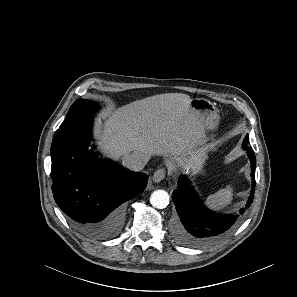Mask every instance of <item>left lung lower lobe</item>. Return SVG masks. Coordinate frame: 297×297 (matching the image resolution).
<instances>
[{
	"label": "left lung lower lobe",
	"mask_w": 297,
	"mask_h": 297,
	"mask_svg": "<svg viewBox=\"0 0 297 297\" xmlns=\"http://www.w3.org/2000/svg\"><path fill=\"white\" fill-rule=\"evenodd\" d=\"M251 162L252 189L244 208L235 215H221L208 210L185 176L178 181L177 190L172 194L179 221L173 227V239L184 246L200 247L209 245L233 229L246 209L250 207L255 191L256 157L252 149L243 147Z\"/></svg>",
	"instance_id": "1"
}]
</instances>
